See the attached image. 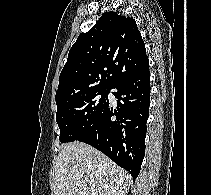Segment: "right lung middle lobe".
<instances>
[{
    "instance_id": "1",
    "label": "right lung middle lobe",
    "mask_w": 211,
    "mask_h": 195,
    "mask_svg": "<svg viewBox=\"0 0 211 195\" xmlns=\"http://www.w3.org/2000/svg\"><path fill=\"white\" fill-rule=\"evenodd\" d=\"M110 89L88 91L57 105L61 143L77 140L91 127L109 105Z\"/></svg>"
}]
</instances>
